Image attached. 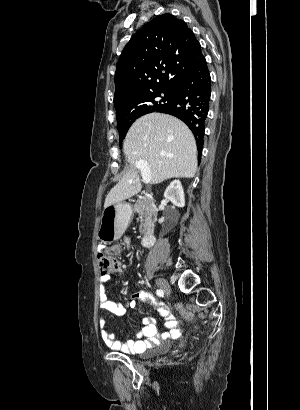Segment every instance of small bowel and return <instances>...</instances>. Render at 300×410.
Returning <instances> with one entry per match:
<instances>
[{
	"mask_svg": "<svg viewBox=\"0 0 300 410\" xmlns=\"http://www.w3.org/2000/svg\"><path fill=\"white\" fill-rule=\"evenodd\" d=\"M110 279L109 275H100L99 289V307L114 315H123L126 312V306L118 301L109 300L105 294L104 284ZM147 301L150 306L161 314L164 319L165 330L159 334L152 318H144L142 327L138 333V340H128L121 342L117 340L113 333L106 329V320L99 319L100 336L103 342L113 350L126 354H134L144 351L147 348L157 345L161 339L175 336L179 331V325L169 308L153 299L147 292L140 291L130 296V301L135 300Z\"/></svg>",
	"mask_w": 300,
	"mask_h": 410,
	"instance_id": "obj_1",
	"label": "small bowel"
}]
</instances>
